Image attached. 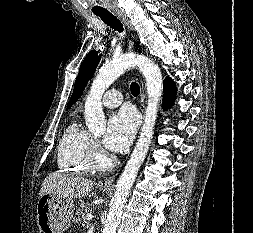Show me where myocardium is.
Wrapping results in <instances>:
<instances>
[{"label":"myocardium","instance_id":"f54148a6","mask_svg":"<svg viewBox=\"0 0 253 233\" xmlns=\"http://www.w3.org/2000/svg\"><path fill=\"white\" fill-rule=\"evenodd\" d=\"M89 161L93 168H108L113 164V158L97 146L90 151Z\"/></svg>","mask_w":253,"mask_h":233}]
</instances>
